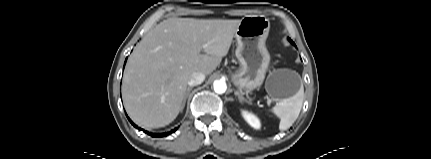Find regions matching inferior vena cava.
Instances as JSON below:
<instances>
[{"mask_svg":"<svg viewBox=\"0 0 431 159\" xmlns=\"http://www.w3.org/2000/svg\"><path fill=\"white\" fill-rule=\"evenodd\" d=\"M205 80V74L202 72H193L188 80L189 86H196Z\"/></svg>","mask_w":431,"mask_h":159,"instance_id":"602c4592","label":"inferior vena cava"}]
</instances>
